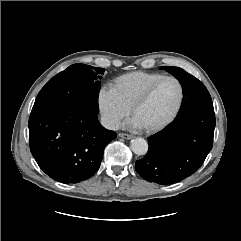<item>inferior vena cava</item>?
Here are the masks:
<instances>
[{
	"instance_id": "inferior-vena-cava-1",
	"label": "inferior vena cava",
	"mask_w": 241,
	"mask_h": 241,
	"mask_svg": "<svg viewBox=\"0 0 241 241\" xmlns=\"http://www.w3.org/2000/svg\"><path fill=\"white\" fill-rule=\"evenodd\" d=\"M101 124L109 129V130H119L120 129V122L108 115L101 116Z\"/></svg>"
}]
</instances>
